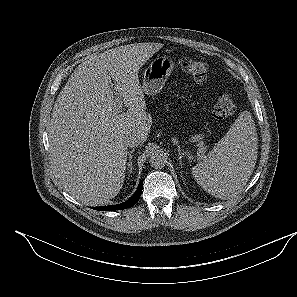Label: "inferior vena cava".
<instances>
[{
	"label": "inferior vena cava",
	"instance_id": "602c4592",
	"mask_svg": "<svg viewBox=\"0 0 297 297\" xmlns=\"http://www.w3.org/2000/svg\"><path fill=\"white\" fill-rule=\"evenodd\" d=\"M143 142V139L138 134H130L127 137H125L124 143L126 147H135L138 146Z\"/></svg>",
	"mask_w": 297,
	"mask_h": 297
}]
</instances>
